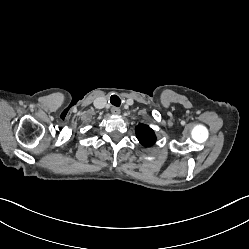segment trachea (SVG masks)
<instances>
[{"instance_id": "1", "label": "trachea", "mask_w": 249, "mask_h": 249, "mask_svg": "<svg viewBox=\"0 0 249 249\" xmlns=\"http://www.w3.org/2000/svg\"><path fill=\"white\" fill-rule=\"evenodd\" d=\"M110 102L112 105L119 107L120 106V98L117 95H112L110 97Z\"/></svg>"}]
</instances>
